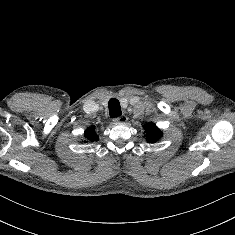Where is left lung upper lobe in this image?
I'll use <instances>...</instances> for the list:
<instances>
[{
	"instance_id": "5c2ea615",
	"label": "left lung upper lobe",
	"mask_w": 235,
	"mask_h": 235,
	"mask_svg": "<svg viewBox=\"0 0 235 235\" xmlns=\"http://www.w3.org/2000/svg\"><path fill=\"white\" fill-rule=\"evenodd\" d=\"M144 129L147 134V141L148 142H151V143L155 142L156 139L158 140L162 136V133L160 132V130L152 122L144 125Z\"/></svg>"
}]
</instances>
